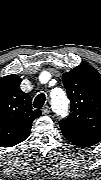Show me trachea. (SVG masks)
<instances>
[{
  "instance_id": "obj_1",
  "label": "trachea",
  "mask_w": 101,
  "mask_h": 180,
  "mask_svg": "<svg viewBox=\"0 0 101 180\" xmlns=\"http://www.w3.org/2000/svg\"><path fill=\"white\" fill-rule=\"evenodd\" d=\"M46 101V97L44 93H40L39 95H37V97L34 100V108H41L43 107L44 103Z\"/></svg>"
}]
</instances>
